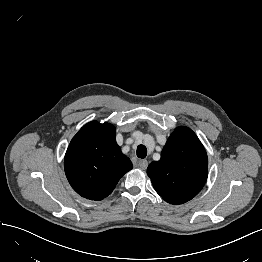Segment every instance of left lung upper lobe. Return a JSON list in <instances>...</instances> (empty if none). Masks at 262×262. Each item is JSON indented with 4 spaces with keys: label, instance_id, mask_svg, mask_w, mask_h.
I'll use <instances>...</instances> for the list:
<instances>
[{
    "label": "left lung upper lobe",
    "instance_id": "5c2ea615",
    "mask_svg": "<svg viewBox=\"0 0 262 262\" xmlns=\"http://www.w3.org/2000/svg\"><path fill=\"white\" fill-rule=\"evenodd\" d=\"M147 174L166 202L183 204L203 188L208 176V157L191 129L177 127L168 138L161 159L148 166Z\"/></svg>",
    "mask_w": 262,
    "mask_h": 262
}]
</instances>
